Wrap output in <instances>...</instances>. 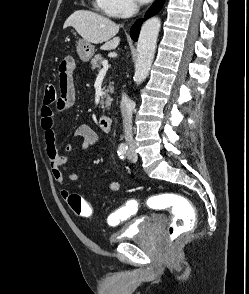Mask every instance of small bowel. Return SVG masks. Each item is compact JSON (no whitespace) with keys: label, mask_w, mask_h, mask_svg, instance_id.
<instances>
[{"label":"small bowel","mask_w":249,"mask_h":294,"mask_svg":"<svg viewBox=\"0 0 249 294\" xmlns=\"http://www.w3.org/2000/svg\"><path fill=\"white\" fill-rule=\"evenodd\" d=\"M71 59L70 71L62 75L59 72L60 98L54 105L43 104L40 109L39 121L40 127L44 133L46 144V155L50 163V172L55 182L64 185V174L67 173V179L75 182L79 179V174L71 172L68 168L70 153L81 152L96 147L99 144L98 135L86 124L77 125L72 133V137H78L82 140L80 145L68 143L64 146V152L58 144V137L55 131V117L57 112H63L71 108L75 101V88L72 79L73 59ZM108 189L112 192L120 190V184L116 181L108 183ZM61 196L66 200L69 197V191L63 187L60 191ZM120 210L112 213L108 218L110 226H116L124 219L119 217Z\"/></svg>","instance_id":"obj_1"}]
</instances>
